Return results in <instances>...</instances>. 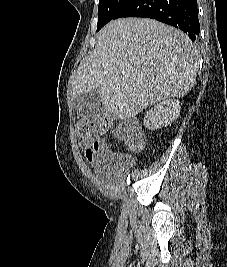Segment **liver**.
<instances>
[{
    "label": "liver",
    "mask_w": 227,
    "mask_h": 267,
    "mask_svg": "<svg viewBox=\"0 0 227 267\" xmlns=\"http://www.w3.org/2000/svg\"><path fill=\"white\" fill-rule=\"evenodd\" d=\"M198 54L185 33L152 19L124 18L101 29L93 53L77 70L73 97L96 91L119 119L134 117L192 89Z\"/></svg>",
    "instance_id": "obj_1"
}]
</instances>
